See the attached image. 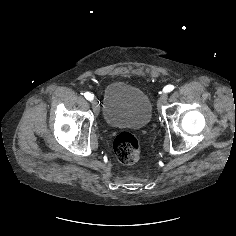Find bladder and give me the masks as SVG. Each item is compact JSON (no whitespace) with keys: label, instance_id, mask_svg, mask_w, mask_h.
<instances>
[{"label":"bladder","instance_id":"1","mask_svg":"<svg viewBox=\"0 0 236 236\" xmlns=\"http://www.w3.org/2000/svg\"><path fill=\"white\" fill-rule=\"evenodd\" d=\"M101 112L112 128L138 129L152 118V102L139 88L124 82H112L104 91Z\"/></svg>","mask_w":236,"mask_h":236}]
</instances>
